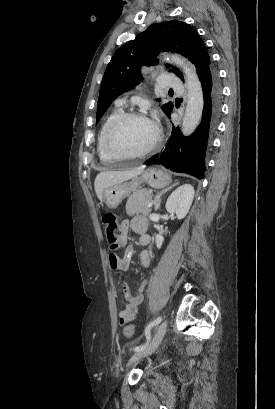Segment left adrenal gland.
I'll return each mask as SVG.
<instances>
[{
	"label": "left adrenal gland",
	"mask_w": 275,
	"mask_h": 409,
	"mask_svg": "<svg viewBox=\"0 0 275 409\" xmlns=\"http://www.w3.org/2000/svg\"><path fill=\"white\" fill-rule=\"evenodd\" d=\"M178 184L177 180H175L174 184L172 186H168V188H163L159 194H156L154 198V211H158L160 205H161V196L164 194V192H167V190H170V188H173V186H176Z\"/></svg>",
	"instance_id": "1"
}]
</instances>
